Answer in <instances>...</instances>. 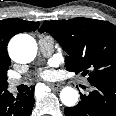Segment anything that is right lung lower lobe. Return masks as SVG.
I'll list each match as a JSON object with an SVG mask.
<instances>
[{
	"label": "right lung lower lobe",
	"mask_w": 116,
	"mask_h": 116,
	"mask_svg": "<svg viewBox=\"0 0 116 116\" xmlns=\"http://www.w3.org/2000/svg\"><path fill=\"white\" fill-rule=\"evenodd\" d=\"M33 92L18 94L15 98L9 91L0 97V116H29L33 109Z\"/></svg>",
	"instance_id": "obj_1"
}]
</instances>
